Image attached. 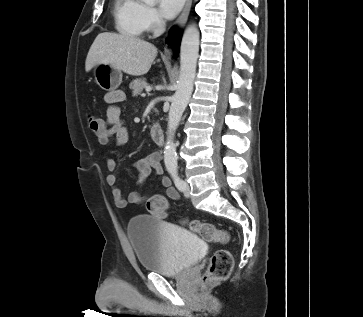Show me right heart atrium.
<instances>
[{"label": "right heart atrium", "instance_id": "obj_1", "mask_svg": "<svg viewBox=\"0 0 363 317\" xmlns=\"http://www.w3.org/2000/svg\"><path fill=\"white\" fill-rule=\"evenodd\" d=\"M144 22L146 30L151 33L159 32L164 26L163 19L153 7H145Z\"/></svg>", "mask_w": 363, "mask_h": 317}]
</instances>
